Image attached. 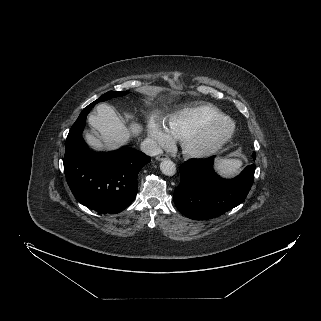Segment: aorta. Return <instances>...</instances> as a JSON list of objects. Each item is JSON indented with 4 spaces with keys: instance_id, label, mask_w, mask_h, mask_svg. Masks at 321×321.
Instances as JSON below:
<instances>
[{
    "instance_id": "aorta-1",
    "label": "aorta",
    "mask_w": 321,
    "mask_h": 321,
    "mask_svg": "<svg viewBox=\"0 0 321 321\" xmlns=\"http://www.w3.org/2000/svg\"><path fill=\"white\" fill-rule=\"evenodd\" d=\"M160 170L167 176H173L176 173V165L169 159H165L160 163Z\"/></svg>"
}]
</instances>
